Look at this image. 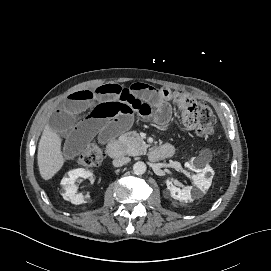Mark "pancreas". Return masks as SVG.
<instances>
[{"instance_id":"1","label":"pancreas","mask_w":271,"mask_h":271,"mask_svg":"<svg viewBox=\"0 0 271 271\" xmlns=\"http://www.w3.org/2000/svg\"><path fill=\"white\" fill-rule=\"evenodd\" d=\"M119 140L124 146L125 154L129 156L141 155L147 148L145 142L134 131L121 135Z\"/></svg>"}]
</instances>
